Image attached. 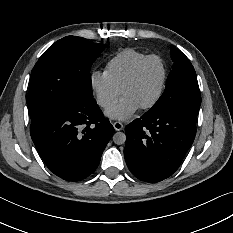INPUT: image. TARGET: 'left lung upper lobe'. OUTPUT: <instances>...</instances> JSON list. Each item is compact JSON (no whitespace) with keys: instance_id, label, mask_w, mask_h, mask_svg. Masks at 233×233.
I'll use <instances>...</instances> for the list:
<instances>
[{"instance_id":"5c2ea615","label":"left lung upper lobe","mask_w":233,"mask_h":233,"mask_svg":"<svg viewBox=\"0 0 233 233\" xmlns=\"http://www.w3.org/2000/svg\"><path fill=\"white\" fill-rule=\"evenodd\" d=\"M171 58L174 62L166 88L154 106L145 114L150 116L174 112L198 114L201 95L195 70L185 54L171 46Z\"/></svg>"}]
</instances>
